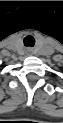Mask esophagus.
<instances>
[{"instance_id":"obj_1","label":"esophagus","mask_w":63,"mask_h":123,"mask_svg":"<svg viewBox=\"0 0 63 123\" xmlns=\"http://www.w3.org/2000/svg\"><path fill=\"white\" fill-rule=\"evenodd\" d=\"M27 53H28V54H33V53H34V50H33L32 48H28V49H27Z\"/></svg>"}]
</instances>
